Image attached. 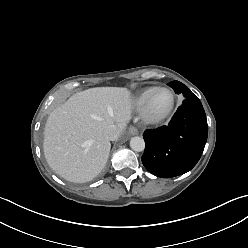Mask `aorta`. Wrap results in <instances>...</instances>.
Masks as SVG:
<instances>
[{
    "mask_svg": "<svg viewBox=\"0 0 248 248\" xmlns=\"http://www.w3.org/2000/svg\"><path fill=\"white\" fill-rule=\"evenodd\" d=\"M130 147L132 148V150L136 151V152H141L144 150L145 148V142L144 139L141 137H132L130 140Z\"/></svg>",
    "mask_w": 248,
    "mask_h": 248,
    "instance_id": "obj_1",
    "label": "aorta"
}]
</instances>
